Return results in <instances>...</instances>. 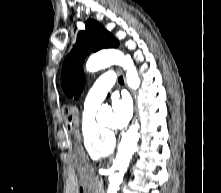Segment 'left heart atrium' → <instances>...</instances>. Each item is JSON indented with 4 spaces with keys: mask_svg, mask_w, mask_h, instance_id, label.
I'll use <instances>...</instances> for the list:
<instances>
[{
    "mask_svg": "<svg viewBox=\"0 0 221 193\" xmlns=\"http://www.w3.org/2000/svg\"><path fill=\"white\" fill-rule=\"evenodd\" d=\"M113 110V124L116 128H124L130 121L132 116V103L130 99L125 96H114L111 102Z\"/></svg>",
    "mask_w": 221,
    "mask_h": 193,
    "instance_id": "obj_1",
    "label": "left heart atrium"
}]
</instances>
